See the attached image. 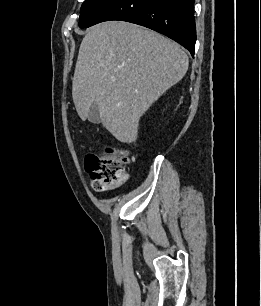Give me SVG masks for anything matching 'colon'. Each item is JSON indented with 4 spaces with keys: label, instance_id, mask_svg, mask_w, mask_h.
<instances>
[{
    "label": "colon",
    "instance_id": "colon-1",
    "mask_svg": "<svg viewBox=\"0 0 261 306\" xmlns=\"http://www.w3.org/2000/svg\"><path fill=\"white\" fill-rule=\"evenodd\" d=\"M126 150L107 148L102 155L90 154L85 159V168L91 184L97 191L123 184L127 180L125 165L129 162Z\"/></svg>",
    "mask_w": 261,
    "mask_h": 306
}]
</instances>
